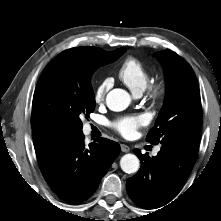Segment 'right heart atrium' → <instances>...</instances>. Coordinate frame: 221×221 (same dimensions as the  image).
Masks as SVG:
<instances>
[{
    "instance_id": "d8ad5b80",
    "label": "right heart atrium",
    "mask_w": 221,
    "mask_h": 221,
    "mask_svg": "<svg viewBox=\"0 0 221 221\" xmlns=\"http://www.w3.org/2000/svg\"><path fill=\"white\" fill-rule=\"evenodd\" d=\"M112 85L110 78H105L97 85L94 91V100L96 103H101L105 100L106 94Z\"/></svg>"
}]
</instances>
